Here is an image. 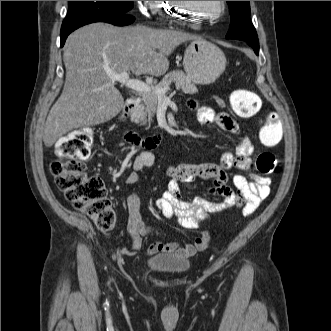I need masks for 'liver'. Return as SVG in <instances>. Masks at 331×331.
Masks as SVG:
<instances>
[{
	"label": "liver",
	"mask_w": 331,
	"mask_h": 331,
	"mask_svg": "<svg viewBox=\"0 0 331 331\" xmlns=\"http://www.w3.org/2000/svg\"><path fill=\"white\" fill-rule=\"evenodd\" d=\"M196 39L201 38L181 31L104 23L74 31L64 46L66 79L44 126L45 146L51 147L74 128L109 121L122 110L124 99L110 74L161 76L174 49Z\"/></svg>",
	"instance_id": "6515ba94"
}]
</instances>
